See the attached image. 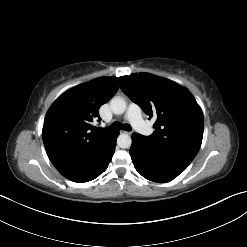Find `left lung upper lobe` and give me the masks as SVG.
Wrapping results in <instances>:
<instances>
[{
    "label": "left lung upper lobe",
    "instance_id": "obj_1",
    "mask_svg": "<svg viewBox=\"0 0 247 247\" xmlns=\"http://www.w3.org/2000/svg\"><path fill=\"white\" fill-rule=\"evenodd\" d=\"M121 90L150 117L155 132L144 136L167 155L191 163L198 153L204 118L190 92L167 79L147 73L119 78Z\"/></svg>",
    "mask_w": 247,
    "mask_h": 247
}]
</instances>
